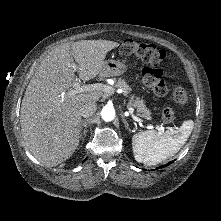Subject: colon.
I'll return each mask as SVG.
<instances>
[{"label": "colon", "mask_w": 221, "mask_h": 221, "mask_svg": "<svg viewBox=\"0 0 221 221\" xmlns=\"http://www.w3.org/2000/svg\"><path fill=\"white\" fill-rule=\"evenodd\" d=\"M120 53L124 56L135 55L145 62L148 66L142 71L144 83L151 87L158 96H163L167 93L163 72L159 68L165 58L163 50L151 43H138L127 39L121 44ZM171 95L178 105H184L188 100L187 92L182 87H174ZM162 119L165 123H173L176 120L174 109L166 107L162 112Z\"/></svg>", "instance_id": "obj_1"}]
</instances>
